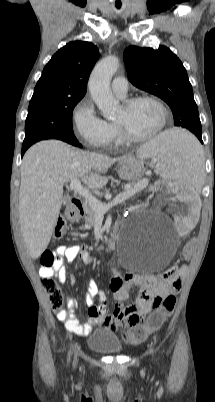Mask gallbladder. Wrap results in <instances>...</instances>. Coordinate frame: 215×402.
<instances>
[{"mask_svg": "<svg viewBox=\"0 0 215 402\" xmlns=\"http://www.w3.org/2000/svg\"><path fill=\"white\" fill-rule=\"evenodd\" d=\"M69 201H70V198H69V197L65 196V197L63 198L64 204L69 203Z\"/></svg>", "mask_w": 215, "mask_h": 402, "instance_id": "1", "label": "gallbladder"}]
</instances>
